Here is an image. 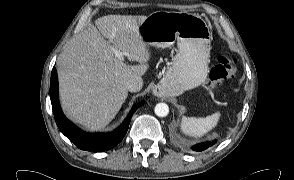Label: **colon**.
<instances>
[{
  "label": "colon",
  "mask_w": 294,
  "mask_h": 180,
  "mask_svg": "<svg viewBox=\"0 0 294 180\" xmlns=\"http://www.w3.org/2000/svg\"><path fill=\"white\" fill-rule=\"evenodd\" d=\"M236 70L237 61L234 57L226 55L218 57L217 64L210 70L207 89L218 88L224 80L234 77Z\"/></svg>",
  "instance_id": "5ec220e1"
}]
</instances>
